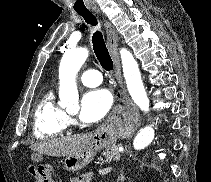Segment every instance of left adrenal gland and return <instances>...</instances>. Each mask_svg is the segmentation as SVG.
I'll return each instance as SVG.
<instances>
[{"label":"left adrenal gland","mask_w":211,"mask_h":182,"mask_svg":"<svg viewBox=\"0 0 211 182\" xmlns=\"http://www.w3.org/2000/svg\"><path fill=\"white\" fill-rule=\"evenodd\" d=\"M120 180H121V182H124V180H125V176L123 173H121V175H120Z\"/></svg>","instance_id":"1"}]
</instances>
